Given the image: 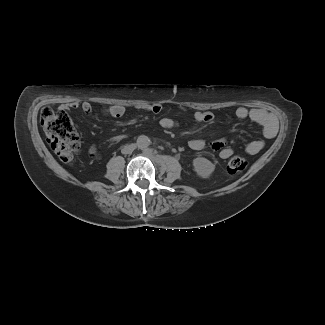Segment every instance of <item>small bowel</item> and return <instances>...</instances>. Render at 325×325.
Wrapping results in <instances>:
<instances>
[{
	"mask_svg": "<svg viewBox=\"0 0 325 325\" xmlns=\"http://www.w3.org/2000/svg\"><path fill=\"white\" fill-rule=\"evenodd\" d=\"M81 108L85 113H90L93 109L92 105L89 102H74L67 105H59L57 107V114L59 115L61 121H63L64 125L66 126V129L68 132L73 133L76 130L75 124L68 115L72 114V109ZM141 110L152 112L154 114H160L164 107L162 104H153V105H141L139 107ZM181 110H184V108H181ZM104 113L114 117V118H120L125 113V108L121 105H112L107 107L104 110ZM235 114L237 118L239 119H251L256 124H258L262 130L265 138L270 139L275 136L277 127L275 124V121L272 116H270L268 113H266L264 110L255 108V109H249L246 106H239ZM193 119L197 123H211L214 121V115L211 112H205V111H196L193 114ZM159 125L163 129H172L176 128L180 125V123L169 117H163L159 120ZM188 146L195 151H200L205 148L206 142L203 139L195 138L191 139L188 142ZM265 146L264 140H254L249 142L245 150L248 154H257L260 152ZM212 148L219 151V155L223 159H227L231 157L234 153V150L232 147H230L226 140L219 139L212 143ZM89 155L93 158L99 157V152L95 146H91L88 149Z\"/></svg>",
	"mask_w": 325,
	"mask_h": 325,
	"instance_id": "c3829d8e",
	"label": "small bowel"
}]
</instances>
